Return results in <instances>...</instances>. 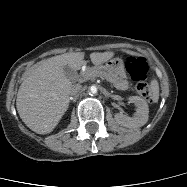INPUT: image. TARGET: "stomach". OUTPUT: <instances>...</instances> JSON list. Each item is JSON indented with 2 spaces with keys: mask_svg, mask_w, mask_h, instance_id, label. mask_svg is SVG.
I'll return each instance as SVG.
<instances>
[{
  "mask_svg": "<svg viewBox=\"0 0 187 187\" xmlns=\"http://www.w3.org/2000/svg\"><path fill=\"white\" fill-rule=\"evenodd\" d=\"M106 68L116 81L126 78L125 67L122 59L114 58L109 60L106 64Z\"/></svg>",
  "mask_w": 187,
  "mask_h": 187,
  "instance_id": "0dacf381",
  "label": "stomach"
}]
</instances>
